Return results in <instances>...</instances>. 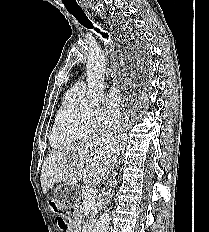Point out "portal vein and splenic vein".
Instances as JSON below:
<instances>
[{"mask_svg":"<svg viewBox=\"0 0 209 232\" xmlns=\"http://www.w3.org/2000/svg\"><path fill=\"white\" fill-rule=\"evenodd\" d=\"M96 193H97L96 188L95 187H90L88 189V192H87V199L89 201L94 200V197H95Z\"/></svg>","mask_w":209,"mask_h":232,"instance_id":"obj_1","label":"portal vein and splenic vein"}]
</instances>
